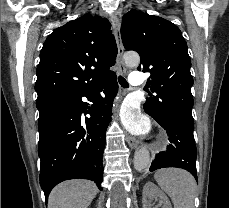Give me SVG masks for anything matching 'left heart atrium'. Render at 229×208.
Here are the masks:
<instances>
[{
    "instance_id": "left-heart-atrium-1",
    "label": "left heart atrium",
    "mask_w": 229,
    "mask_h": 208,
    "mask_svg": "<svg viewBox=\"0 0 229 208\" xmlns=\"http://www.w3.org/2000/svg\"><path fill=\"white\" fill-rule=\"evenodd\" d=\"M121 120L123 124L134 133H143L147 130V120L140 114L139 109L127 104L121 111Z\"/></svg>"
}]
</instances>
